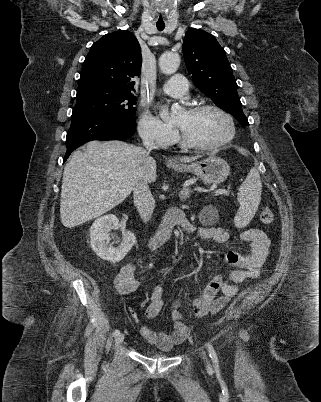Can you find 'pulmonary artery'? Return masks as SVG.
I'll return each instance as SVG.
<instances>
[{"instance_id":"pulmonary-artery-1","label":"pulmonary artery","mask_w":321,"mask_h":402,"mask_svg":"<svg viewBox=\"0 0 321 402\" xmlns=\"http://www.w3.org/2000/svg\"><path fill=\"white\" fill-rule=\"evenodd\" d=\"M161 91L172 97H187L188 83L184 76L177 74L166 81Z\"/></svg>"}]
</instances>
